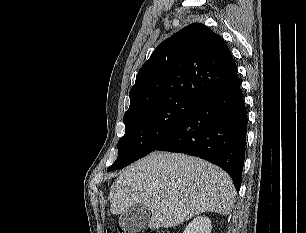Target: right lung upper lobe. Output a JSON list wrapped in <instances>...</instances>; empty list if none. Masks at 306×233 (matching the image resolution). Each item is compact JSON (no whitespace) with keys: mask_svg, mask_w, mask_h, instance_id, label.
Listing matches in <instances>:
<instances>
[{"mask_svg":"<svg viewBox=\"0 0 306 233\" xmlns=\"http://www.w3.org/2000/svg\"><path fill=\"white\" fill-rule=\"evenodd\" d=\"M236 71L223 38L201 23L190 24L162 42L140 68L127 112L173 98L201 104L237 84Z\"/></svg>","mask_w":306,"mask_h":233,"instance_id":"obj_1","label":"right lung upper lobe"}]
</instances>
